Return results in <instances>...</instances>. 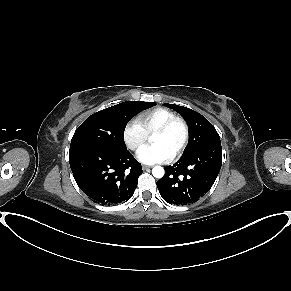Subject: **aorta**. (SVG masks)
Here are the masks:
<instances>
[{
  "label": "aorta",
  "mask_w": 291,
  "mask_h": 291,
  "mask_svg": "<svg viewBox=\"0 0 291 291\" xmlns=\"http://www.w3.org/2000/svg\"><path fill=\"white\" fill-rule=\"evenodd\" d=\"M152 174L155 178H162L165 174V171L163 169V167L161 166H155L153 169H152Z\"/></svg>",
  "instance_id": "obj_1"
}]
</instances>
